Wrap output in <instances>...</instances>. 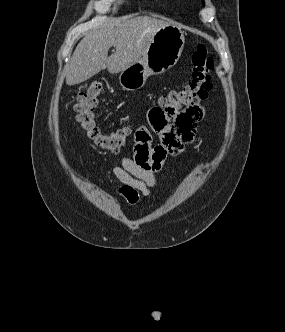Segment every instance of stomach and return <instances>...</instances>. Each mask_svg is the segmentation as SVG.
<instances>
[{
    "instance_id": "stomach-1",
    "label": "stomach",
    "mask_w": 285,
    "mask_h": 332,
    "mask_svg": "<svg viewBox=\"0 0 285 332\" xmlns=\"http://www.w3.org/2000/svg\"><path fill=\"white\" fill-rule=\"evenodd\" d=\"M184 43L185 37L181 28L173 24L161 28L154 35L141 60L121 72V87L128 91L140 89L150 75L168 71L179 60Z\"/></svg>"
}]
</instances>
